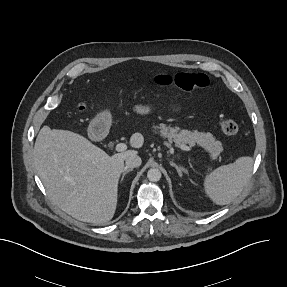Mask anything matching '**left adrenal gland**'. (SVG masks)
Segmentation results:
<instances>
[{"instance_id": "obj_1", "label": "left adrenal gland", "mask_w": 287, "mask_h": 287, "mask_svg": "<svg viewBox=\"0 0 287 287\" xmlns=\"http://www.w3.org/2000/svg\"><path fill=\"white\" fill-rule=\"evenodd\" d=\"M169 163H170V165H171L172 167H174V168L177 170V172H178V174H179L180 176H182V172H186L183 167L178 166V165L175 164L173 161H170Z\"/></svg>"}]
</instances>
